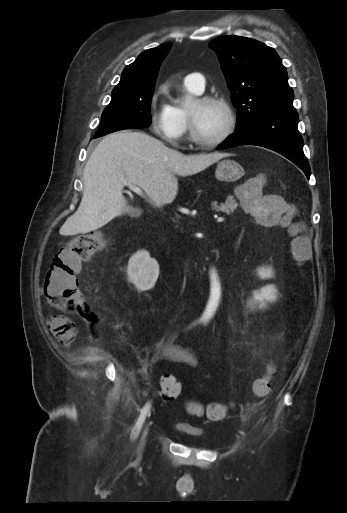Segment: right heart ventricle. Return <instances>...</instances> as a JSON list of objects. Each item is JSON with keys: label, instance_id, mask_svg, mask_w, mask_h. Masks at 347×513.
I'll return each instance as SVG.
<instances>
[{"label": "right heart ventricle", "instance_id": "1", "mask_svg": "<svg viewBox=\"0 0 347 513\" xmlns=\"http://www.w3.org/2000/svg\"><path fill=\"white\" fill-rule=\"evenodd\" d=\"M184 88L192 93V94H198L191 86H189L187 83H184ZM170 110L184 123H186L188 128V118H187V108L184 107L179 102H173L169 105Z\"/></svg>", "mask_w": 347, "mask_h": 513}]
</instances>
